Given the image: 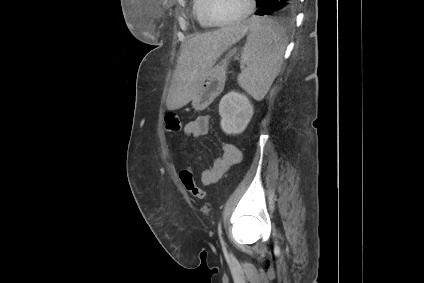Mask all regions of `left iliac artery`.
I'll use <instances>...</instances> for the list:
<instances>
[{
	"instance_id": "1",
	"label": "left iliac artery",
	"mask_w": 424,
	"mask_h": 283,
	"mask_svg": "<svg viewBox=\"0 0 424 283\" xmlns=\"http://www.w3.org/2000/svg\"><path fill=\"white\" fill-rule=\"evenodd\" d=\"M218 235L220 237L221 242L223 243L221 222H219V224H218Z\"/></svg>"
}]
</instances>
